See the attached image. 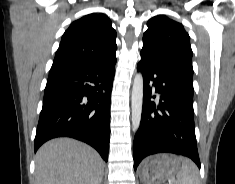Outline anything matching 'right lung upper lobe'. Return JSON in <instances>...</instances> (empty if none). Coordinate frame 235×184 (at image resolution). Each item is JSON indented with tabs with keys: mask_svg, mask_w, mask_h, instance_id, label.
<instances>
[{
	"mask_svg": "<svg viewBox=\"0 0 235 184\" xmlns=\"http://www.w3.org/2000/svg\"><path fill=\"white\" fill-rule=\"evenodd\" d=\"M116 31L104 14H89L65 31L52 66L105 65L116 62Z\"/></svg>",
	"mask_w": 235,
	"mask_h": 184,
	"instance_id": "cb5924a9",
	"label": "right lung upper lobe"
}]
</instances>
